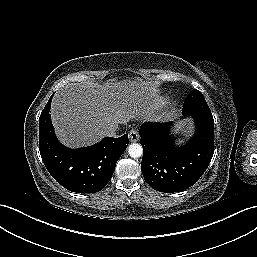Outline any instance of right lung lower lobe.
<instances>
[{
	"instance_id": "98d812e1",
	"label": "right lung lower lobe",
	"mask_w": 257,
	"mask_h": 257,
	"mask_svg": "<svg viewBox=\"0 0 257 257\" xmlns=\"http://www.w3.org/2000/svg\"><path fill=\"white\" fill-rule=\"evenodd\" d=\"M53 95L39 118V150L52 177L67 190L96 193L109 182L116 163L128 145V135L105 137L101 142L81 149H69L57 140L51 122Z\"/></svg>"
}]
</instances>
